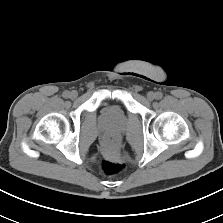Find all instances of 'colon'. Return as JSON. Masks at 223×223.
<instances>
[{
	"label": "colon",
	"mask_w": 223,
	"mask_h": 223,
	"mask_svg": "<svg viewBox=\"0 0 223 223\" xmlns=\"http://www.w3.org/2000/svg\"><path fill=\"white\" fill-rule=\"evenodd\" d=\"M119 147V141L115 135H108L103 144L104 151L107 155L116 154ZM101 170L105 175H115L122 172L126 168L123 159H103L101 162Z\"/></svg>",
	"instance_id": "1"
}]
</instances>
